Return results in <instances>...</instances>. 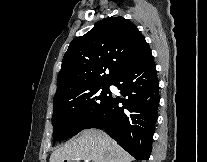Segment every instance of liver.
<instances>
[{"label": "liver", "instance_id": "6515ba94", "mask_svg": "<svg viewBox=\"0 0 207 162\" xmlns=\"http://www.w3.org/2000/svg\"><path fill=\"white\" fill-rule=\"evenodd\" d=\"M132 162L134 159L104 131L83 130L79 136L56 149L49 162Z\"/></svg>", "mask_w": 207, "mask_h": 162}]
</instances>
